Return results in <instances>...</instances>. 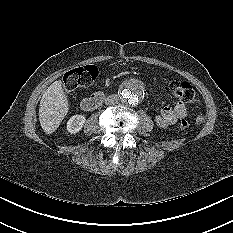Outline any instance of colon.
I'll use <instances>...</instances> for the list:
<instances>
[{"mask_svg": "<svg viewBox=\"0 0 233 233\" xmlns=\"http://www.w3.org/2000/svg\"><path fill=\"white\" fill-rule=\"evenodd\" d=\"M98 76V69L94 65H86L75 68L66 72L63 76V86L66 92H72L81 87H87L93 83ZM170 89L173 95L180 100L196 104L198 97L193 86L183 80L174 79L170 82ZM190 127V123L182 119L180 122V128L186 130Z\"/></svg>", "mask_w": 233, "mask_h": 233, "instance_id": "colon-1", "label": "colon"}]
</instances>
